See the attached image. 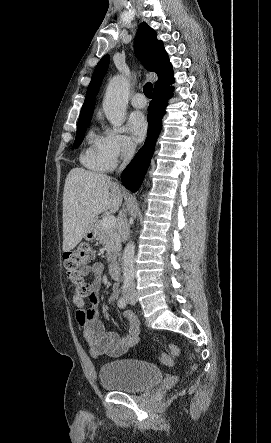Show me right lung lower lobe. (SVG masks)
<instances>
[{"label": "right lung lower lobe", "mask_w": 271, "mask_h": 443, "mask_svg": "<svg viewBox=\"0 0 271 443\" xmlns=\"http://www.w3.org/2000/svg\"><path fill=\"white\" fill-rule=\"evenodd\" d=\"M174 81L162 84L154 88L153 99L148 108L149 133L145 145L138 151L136 156L122 173L124 186L136 192L146 174L150 159L153 155L156 138L162 128L161 119L165 114L168 99L172 97L173 87L169 86Z\"/></svg>", "instance_id": "right-lung-lower-lobe-1"}]
</instances>
